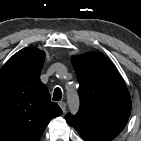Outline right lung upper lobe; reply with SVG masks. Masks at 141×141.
Returning a JSON list of instances; mask_svg holds the SVG:
<instances>
[{"instance_id": "cb5924a9", "label": "right lung upper lobe", "mask_w": 141, "mask_h": 141, "mask_svg": "<svg viewBox=\"0 0 141 141\" xmlns=\"http://www.w3.org/2000/svg\"><path fill=\"white\" fill-rule=\"evenodd\" d=\"M45 53L28 47L0 70V141H39L62 110L40 80Z\"/></svg>"}]
</instances>
